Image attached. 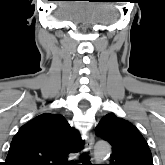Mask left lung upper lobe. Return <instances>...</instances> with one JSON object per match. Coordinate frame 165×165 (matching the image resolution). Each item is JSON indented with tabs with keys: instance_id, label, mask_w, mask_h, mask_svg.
<instances>
[{
	"instance_id": "obj_1",
	"label": "left lung upper lobe",
	"mask_w": 165,
	"mask_h": 165,
	"mask_svg": "<svg viewBox=\"0 0 165 165\" xmlns=\"http://www.w3.org/2000/svg\"><path fill=\"white\" fill-rule=\"evenodd\" d=\"M95 132L112 145L110 165H153L147 142L130 122L110 113L101 119Z\"/></svg>"
}]
</instances>
